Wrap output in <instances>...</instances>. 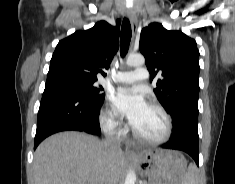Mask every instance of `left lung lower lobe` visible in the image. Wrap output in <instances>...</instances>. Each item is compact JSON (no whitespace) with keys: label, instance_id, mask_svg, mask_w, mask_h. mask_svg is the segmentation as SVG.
<instances>
[{"label":"left lung lower lobe","instance_id":"left-lung-lower-lobe-1","mask_svg":"<svg viewBox=\"0 0 235 184\" xmlns=\"http://www.w3.org/2000/svg\"><path fill=\"white\" fill-rule=\"evenodd\" d=\"M198 140V130L189 126H182L179 130L172 132L171 139L162 147L184 151L199 165Z\"/></svg>","mask_w":235,"mask_h":184}]
</instances>
